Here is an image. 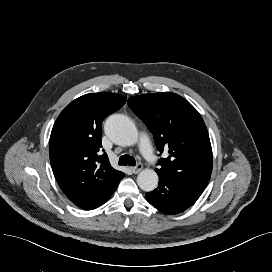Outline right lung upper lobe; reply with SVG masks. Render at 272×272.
<instances>
[{
    "instance_id": "right-lung-upper-lobe-1",
    "label": "right lung upper lobe",
    "mask_w": 272,
    "mask_h": 272,
    "mask_svg": "<svg viewBox=\"0 0 272 272\" xmlns=\"http://www.w3.org/2000/svg\"><path fill=\"white\" fill-rule=\"evenodd\" d=\"M126 99L109 92L83 95L60 113L53 126L49 141L53 173L66 196L83 209L99 204L124 177L100 148L103 119Z\"/></svg>"
}]
</instances>
